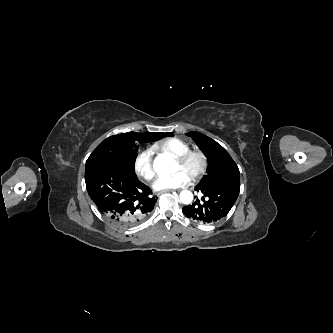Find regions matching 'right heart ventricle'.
I'll use <instances>...</instances> for the list:
<instances>
[{
  "label": "right heart ventricle",
  "instance_id": "obj_1",
  "mask_svg": "<svg viewBox=\"0 0 333 333\" xmlns=\"http://www.w3.org/2000/svg\"><path fill=\"white\" fill-rule=\"evenodd\" d=\"M153 148L174 158L190 151V146L178 138H169L158 141L154 144Z\"/></svg>",
  "mask_w": 333,
  "mask_h": 333
}]
</instances>
